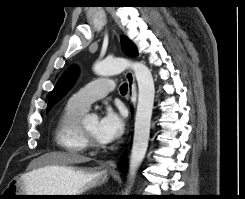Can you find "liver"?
<instances>
[{
    "mask_svg": "<svg viewBox=\"0 0 245 199\" xmlns=\"http://www.w3.org/2000/svg\"><path fill=\"white\" fill-rule=\"evenodd\" d=\"M90 161V158L72 152H51L42 155L37 162L38 168L47 166H68L72 164L84 163ZM36 170V169H34ZM33 170V171H34ZM31 172L24 176L30 175Z\"/></svg>",
    "mask_w": 245,
    "mask_h": 199,
    "instance_id": "1",
    "label": "liver"
}]
</instances>
